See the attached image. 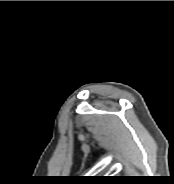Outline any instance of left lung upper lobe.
Here are the masks:
<instances>
[{
	"mask_svg": "<svg viewBox=\"0 0 174 184\" xmlns=\"http://www.w3.org/2000/svg\"><path fill=\"white\" fill-rule=\"evenodd\" d=\"M107 178H98V180H101V181H104L106 180Z\"/></svg>",
	"mask_w": 174,
	"mask_h": 184,
	"instance_id": "5c2ea615",
	"label": "left lung upper lobe"
}]
</instances>
